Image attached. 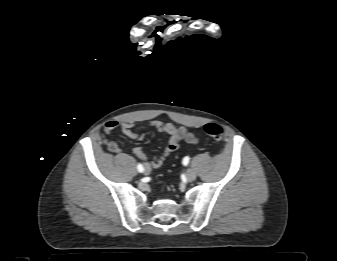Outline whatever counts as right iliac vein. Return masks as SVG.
Masks as SVG:
<instances>
[{"mask_svg":"<svg viewBox=\"0 0 337 261\" xmlns=\"http://www.w3.org/2000/svg\"><path fill=\"white\" fill-rule=\"evenodd\" d=\"M149 173H150V168L146 167V168L144 169V174H145V175H148Z\"/></svg>","mask_w":337,"mask_h":261,"instance_id":"right-iliac-vein-1","label":"right iliac vein"}]
</instances>
